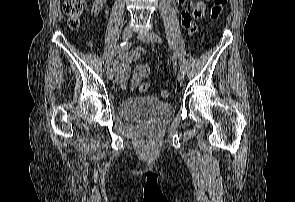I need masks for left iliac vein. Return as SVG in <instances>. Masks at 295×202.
<instances>
[{
    "mask_svg": "<svg viewBox=\"0 0 295 202\" xmlns=\"http://www.w3.org/2000/svg\"><path fill=\"white\" fill-rule=\"evenodd\" d=\"M138 37L145 43H152L153 42L152 33L149 30L139 31ZM177 80L180 83H183L184 82V75L182 73H178Z\"/></svg>",
    "mask_w": 295,
    "mask_h": 202,
    "instance_id": "obj_1",
    "label": "left iliac vein"
}]
</instances>
